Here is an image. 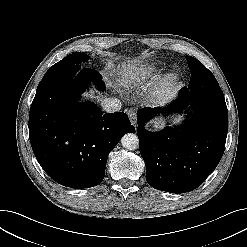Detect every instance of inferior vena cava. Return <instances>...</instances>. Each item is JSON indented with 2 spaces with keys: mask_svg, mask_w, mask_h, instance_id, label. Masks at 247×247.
I'll use <instances>...</instances> for the list:
<instances>
[{
  "mask_svg": "<svg viewBox=\"0 0 247 247\" xmlns=\"http://www.w3.org/2000/svg\"><path fill=\"white\" fill-rule=\"evenodd\" d=\"M121 106V101L117 98H105L101 101L102 109L108 113L120 111Z\"/></svg>",
  "mask_w": 247,
  "mask_h": 247,
  "instance_id": "602c4592",
  "label": "inferior vena cava"
}]
</instances>
